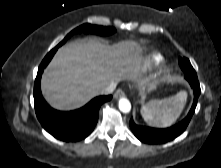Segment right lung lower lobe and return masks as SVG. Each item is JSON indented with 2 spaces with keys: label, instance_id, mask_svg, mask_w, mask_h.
<instances>
[{
  "label": "right lung lower lobe",
  "instance_id": "1",
  "mask_svg": "<svg viewBox=\"0 0 221 168\" xmlns=\"http://www.w3.org/2000/svg\"><path fill=\"white\" fill-rule=\"evenodd\" d=\"M58 47L60 46L57 45L45 56L38 68L34 84L35 112L43 128L52 136L65 142H76L86 138L93 131L98 121L101 105L111 100L112 96H98L84 107L69 112L57 111L51 108L43 99L40 80L44 68L48 65Z\"/></svg>",
  "mask_w": 221,
  "mask_h": 168
}]
</instances>
